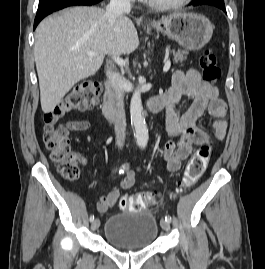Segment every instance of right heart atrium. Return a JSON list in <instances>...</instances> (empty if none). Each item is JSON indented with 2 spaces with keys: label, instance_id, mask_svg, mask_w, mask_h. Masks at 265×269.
Returning <instances> with one entry per match:
<instances>
[{
  "label": "right heart atrium",
  "instance_id": "obj_1",
  "mask_svg": "<svg viewBox=\"0 0 265 269\" xmlns=\"http://www.w3.org/2000/svg\"><path fill=\"white\" fill-rule=\"evenodd\" d=\"M123 1H132V0H123Z\"/></svg>",
  "mask_w": 265,
  "mask_h": 269
}]
</instances>
